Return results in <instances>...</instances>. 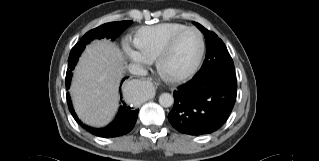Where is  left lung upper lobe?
Returning a JSON list of instances; mask_svg holds the SVG:
<instances>
[{
	"instance_id": "left-lung-upper-lobe-1",
	"label": "left lung upper lobe",
	"mask_w": 319,
	"mask_h": 161,
	"mask_svg": "<svg viewBox=\"0 0 319 161\" xmlns=\"http://www.w3.org/2000/svg\"><path fill=\"white\" fill-rule=\"evenodd\" d=\"M194 24L205 36L206 57L201 69L193 78L221 76L236 81L234 63L223 41L202 25Z\"/></svg>"
}]
</instances>
